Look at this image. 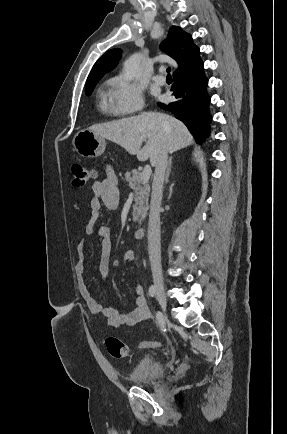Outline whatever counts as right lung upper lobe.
<instances>
[{
    "label": "right lung upper lobe",
    "instance_id": "cb5924a9",
    "mask_svg": "<svg viewBox=\"0 0 287 434\" xmlns=\"http://www.w3.org/2000/svg\"><path fill=\"white\" fill-rule=\"evenodd\" d=\"M160 48L177 61L178 70L186 66L199 53V48L194 45L191 35L177 26L170 28L168 37L161 43ZM120 57V51L117 49L107 51L93 66L86 84L99 81L105 73L116 66Z\"/></svg>",
    "mask_w": 287,
    "mask_h": 434
}]
</instances>
